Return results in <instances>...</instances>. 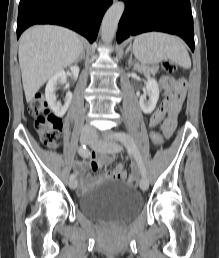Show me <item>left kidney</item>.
Wrapping results in <instances>:
<instances>
[{
    "instance_id": "obj_1",
    "label": "left kidney",
    "mask_w": 219,
    "mask_h": 258,
    "mask_svg": "<svg viewBox=\"0 0 219 258\" xmlns=\"http://www.w3.org/2000/svg\"><path fill=\"white\" fill-rule=\"evenodd\" d=\"M147 83H146V93L140 96L139 105L141 110L145 114H150L156 107L157 101L159 99V86L155 79L151 78L150 75H146ZM148 95L149 99L146 100V96Z\"/></svg>"
}]
</instances>
